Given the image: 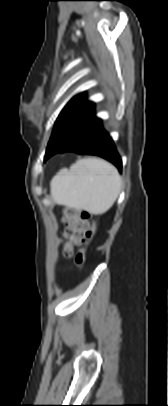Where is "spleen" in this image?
<instances>
[{
  "instance_id": "obj_1",
  "label": "spleen",
  "mask_w": 168,
  "mask_h": 406,
  "mask_svg": "<svg viewBox=\"0 0 168 406\" xmlns=\"http://www.w3.org/2000/svg\"><path fill=\"white\" fill-rule=\"evenodd\" d=\"M121 187L122 179L112 164L100 158H83L52 178L50 192L59 205L101 215L112 207Z\"/></svg>"
}]
</instances>
